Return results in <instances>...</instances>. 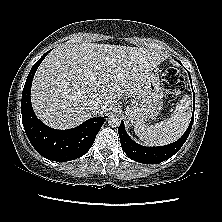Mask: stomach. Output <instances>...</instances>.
Listing matches in <instances>:
<instances>
[{
    "instance_id": "0dacf381",
    "label": "stomach",
    "mask_w": 222,
    "mask_h": 222,
    "mask_svg": "<svg viewBox=\"0 0 222 222\" xmlns=\"http://www.w3.org/2000/svg\"><path fill=\"white\" fill-rule=\"evenodd\" d=\"M163 91L159 76L150 72L141 89L126 109L129 120L135 126L145 125L148 119H155L162 110Z\"/></svg>"
}]
</instances>
